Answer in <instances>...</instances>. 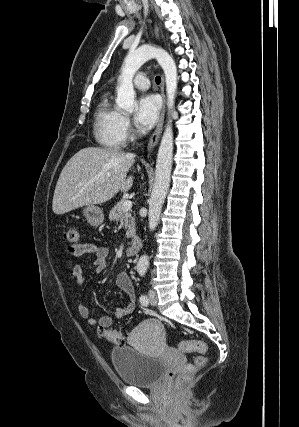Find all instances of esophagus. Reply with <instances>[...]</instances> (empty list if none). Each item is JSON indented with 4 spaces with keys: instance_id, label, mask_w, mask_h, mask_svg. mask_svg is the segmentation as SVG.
Wrapping results in <instances>:
<instances>
[{
    "instance_id": "obj_1",
    "label": "esophagus",
    "mask_w": 299,
    "mask_h": 427,
    "mask_svg": "<svg viewBox=\"0 0 299 427\" xmlns=\"http://www.w3.org/2000/svg\"><path fill=\"white\" fill-rule=\"evenodd\" d=\"M154 32H155L156 37L158 38L159 33H158V27L156 25L154 27ZM161 95H162V99H163L162 110H161V114H160V118H159L157 127H156L155 131L153 132V134L151 135V137L148 141V150L149 151H152L154 149V147L157 145L158 140H159L160 135H161V132H162L164 115H165L164 77H162V82H161Z\"/></svg>"
}]
</instances>
